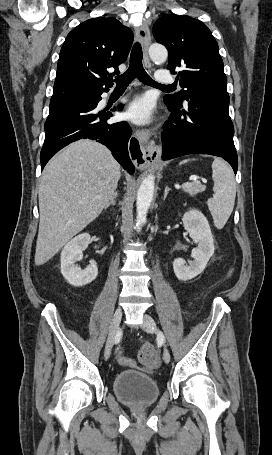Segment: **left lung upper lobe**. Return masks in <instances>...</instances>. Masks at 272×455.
<instances>
[{"instance_id": "1", "label": "left lung upper lobe", "mask_w": 272, "mask_h": 455, "mask_svg": "<svg viewBox=\"0 0 272 455\" xmlns=\"http://www.w3.org/2000/svg\"><path fill=\"white\" fill-rule=\"evenodd\" d=\"M158 43L168 49V69L180 68L181 90L164 99L177 104L201 92L227 93V78L218 44L209 28L201 21L185 15L166 14L153 26Z\"/></svg>"}]
</instances>
